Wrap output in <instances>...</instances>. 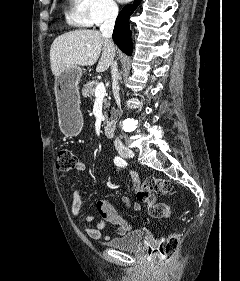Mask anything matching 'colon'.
<instances>
[{
  "mask_svg": "<svg viewBox=\"0 0 240 281\" xmlns=\"http://www.w3.org/2000/svg\"><path fill=\"white\" fill-rule=\"evenodd\" d=\"M78 159L75 153L69 149H63L58 153L56 168L61 172H69L77 166ZM172 183L153 177H148L136 190L137 199L147 205L150 216L154 218H167L170 216V208L164 203L157 202V196H168L172 193ZM180 246V236L171 233L164 241L160 242L151 251L157 257L161 266H167L177 254Z\"/></svg>",
  "mask_w": 240,
  "mask_h": 281,
  "instance_id": "1",
  "label": "colon"
}]
</instances>
